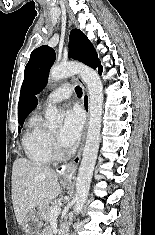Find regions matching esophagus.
Instances as JSON below:
<instances>
[{
  "label": "esophagus",
  "mask_w": 155,
  "mask_h": 235,
  "mask_svg": "<svg viewBox=\"0 0 155 235\" xmlns=\"http://www.w3.org/2000/svg\"><path fill=\"white\" fill-rule=\"evenodd\" d=\"M76 78L81 83L82 89H83L82 107L86 115V123H85L84 131H83V135H82V142L78 149L77 154L70 162H68L66 165L63 166L64 172L61 175V180L65 182L70 180L71 175L77 169L78 164L81 160V156H82V152H83L84 144H85V139H86V134H87V129H88V124H89V117H90V97H89L88 88L82 82L79 75H77Z\"/></svg>",
  "instance_id": "34e87169"
}]
</instances>
